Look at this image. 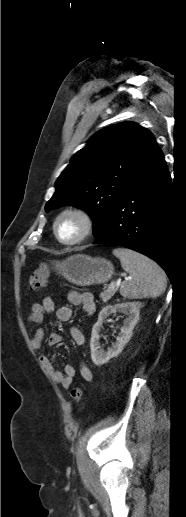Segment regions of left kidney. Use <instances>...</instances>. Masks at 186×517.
Listing matches in <instances>:
<instances>
[{
	"instance_id": "left-kidney-1",
	"label": "left kidney",
	"mask_w": 186,
	"mask_h": 517,
	"mask_svg": "<svg viewBox=\"0 0 186 517\" xmlns=\"http://www.w3.org/2000/svg\"><path fill=\"white\" fill-rule=\"evenodd\" d=\"M142 303L140 302H125L115 304L113 306L108 305L104 307L99 315L98 321L92 328L90 349L91 359L97 366L107 363L111 358L116 357L122 352L125 345L128 343L132 336V331L139 320V313ZM124 313L128 317L124 320L123 326L120 328L119 336L116 338V342L112 344L111 348L104 351L99 343L100 331L102 328L103 321L112 313Z\"/></svg>"
}]
</instances>
